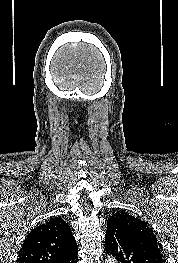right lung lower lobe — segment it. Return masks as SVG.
I'll return each instance as SVG.
<instances>
[{
  "mask_svg": "<svg viewBox=\"0 0 178 263\" xmlns=\"http://www.w3.org/2000/svg\"><path fill=\"white\" fill-rule=\"evenodd\" d=\"M78 257L77 254L72 257L71 259H69L68 261H66L65 263H77Z\"/></svg>",
  "mask_w": 178,
  "mask_h": 263,
  "instance_id": "right-lung-lower-lobe-1",
  "label": "right lung lower lobe"
}]
</instances>
